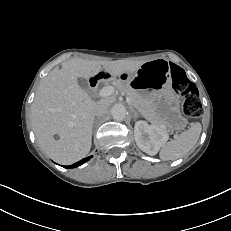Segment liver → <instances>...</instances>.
I'll list each match as a JSON object with an SVG mask.
<instances>
[{
	"instance_id": "liver-1",
	"label": "liver",
	"mask_w": 231,
	"mask_h": 231,
	"mask_svg": "<svg viewBox=\"0 0 231 231\" xmlns=\"http://www.w3.org/2000/svg\"><path fill=\"white\" fill-rule=\"evenodd\" d=\"M145 61H91L71 59L63 62L44 77L31 108L36 141L54 161L69 165L84 158L90 151L94 106L79 86L78 78L96 76L101 70L111 76L134 73ZM108 106L112 100L103 98ZM58 134L59 139H54Z\"/></svg>"
}]
</instances>
